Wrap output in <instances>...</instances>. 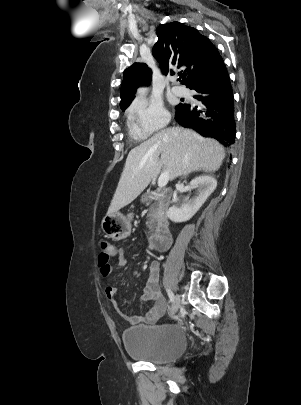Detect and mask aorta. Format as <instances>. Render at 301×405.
<instances>
[{
  "mask_svg": "<svg viewBox=\"0 0 301 405\" xmlns=\"http://www.w3.org/2000/svg\"><path fill=\"white\" fill-rule=\"evenodd\" d=\"M144 93H145V89H143V88H140L139 90H138V96H142V95H144Z\"/></svg>",
  "mask_w": 301,
  "mask_h": 405,
  "instance_id": "aorta-1",
  "label": "aorta"
}]
</instances>
